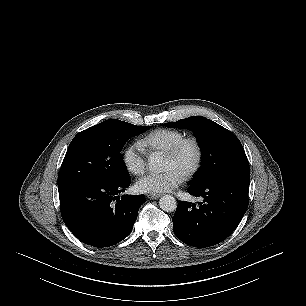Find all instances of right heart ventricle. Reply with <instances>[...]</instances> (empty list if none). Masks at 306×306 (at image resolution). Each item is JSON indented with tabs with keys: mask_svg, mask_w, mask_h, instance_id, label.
<instances>
[{
	"mask_svg": "<svg viewBox=\"0 0 306 306\" xmlns=\"http://www.w3.org/2000/svg\"><path fill=\"white\" fill-rule=\"evenodd\" d=\"M183 137L184 134L178 130L157 129L144 136L141 139L140 144L144 149L152 154H165Z\"/></svg>",
	"mask_w": 306,
	"mask_h": 306,
	"instance_id": "1",
	"label": "right heart ventricle"
}]
</instances>
